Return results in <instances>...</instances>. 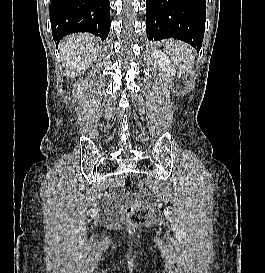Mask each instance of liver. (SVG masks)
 I'll return each instance as SVG.
<instances>
[{
  "mask_svg": "<svg viewBox=\"0 0 265 273\" xmlns=\"http://www.w3.org/2000/svg\"><path fill=\"white\" fill-rule=\"evenodd\" d=\"M63 67L66 75L75 77L97 59L99 39L89 34H73L60 42Z\"/></svg>",
  "mask_w": 265,
  "mask_h": 273,
  "instance_id": "1",
  "label": "liver"
}]
</instances>
